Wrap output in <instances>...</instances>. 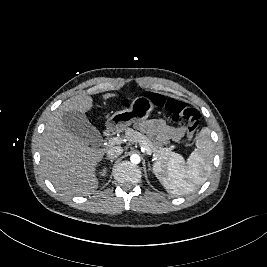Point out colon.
I'll use <instances>...</instances> for the list:
<instances>
[{"instance_id":"colon-1","label":"colon","mask_w":267,"mask_h":267,"mask_svg":"<svg viewBox=\"0 0 267 267\" xmlns=\"http://www.w3.org/2000/svg\"><path fill=\"white\" fill-rule=\"evenodd\" d=\"M151 101L155 106L161 107L169 112L174 121L184 124L187 140L191 141L193 139L200 121V115L195 108L179 100L166 98L158 94L152 95Z\"/></svg>"}]
</instances>
